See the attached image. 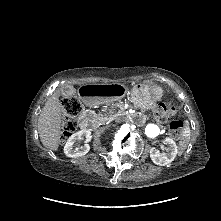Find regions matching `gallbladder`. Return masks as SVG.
<instances>
[{
  "label": "gallbladder",
  "instance_id": "gallbladder-1",
  "mask_svg": "<svg viewBox=\"0 0 221 221\" xmlns=\"http://www.w3.org/2000/svg\"><path fill=\"white\" fill-rule=\"evenodd\" d=\"M75 89L72 86H65L61 89V94L65 98L74 97Z\"/></svg>",
  "mask_w": 221,
  "mask_h": 221
}]
</instances>
